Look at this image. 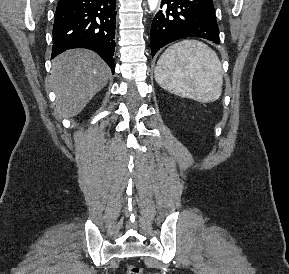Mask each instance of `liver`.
<instances>
[{
	"label": "liver",
	"mask_w": 289,
	"mask_h": 274,
	"mask_svg": "<svg viewBox=\"0 0 289 274\" xmlns=\"http://www.w3.org/2000/svg\"><path fill=\"white\" fill-rule=\"evenodd\" d=\"M110 69L93 51L68 50L53 61L50 82L56 93V113L78 115L108 83Z\"/></svg>",
	"instance_id": "6515ba94"
}]
</instances>
